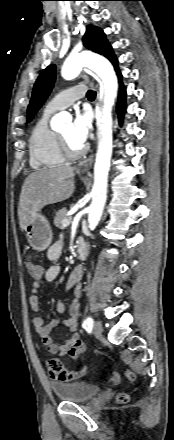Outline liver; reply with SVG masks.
Here are the masks:
<instances>
[{
  "instance_id": "1",
  "label": "liver",
  "mask_w": 174,
  "mask_h": 440,
  "mask_svg": "<svg viewBox=\"0 0 174 440\" xmlns=\"http://www.w3.org/2000/svg\"><path fill=\"white\" fill-rule=\"evenodd\" d=\"M72 167L42 168L32 172L22 186L18 217L22 231L46 205L62 202L75 190Z\"/></svg>"
}]
</instances>
